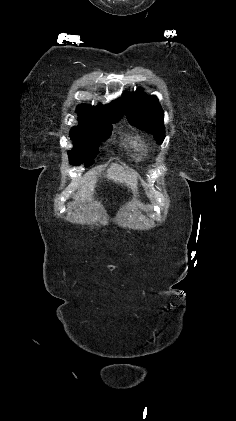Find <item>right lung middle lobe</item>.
Returning <instances> with one entry per match:
<instances>
[{
    "mask_svg": "<svg viewBox=\"0 0 236 421\" xmlns=\"http://www.w3.org/2000/svg\"><path fill=\"white\" fill-rule=\"evenodd\" d=\"M77 113L79 126L70 131L74 150L68 152L69 160L73 165L84 162L90 166L94 163L99 143L110 136L111 124L118 122L124 111L85 109L77 110Z\"/></svg>",
    "mask_w": 236,
    "mask_h": 421,
    "instance_id": "obj_1",
    "label": "right lung middle lobe"
}]
</instances>
